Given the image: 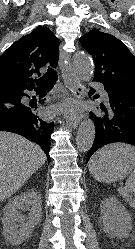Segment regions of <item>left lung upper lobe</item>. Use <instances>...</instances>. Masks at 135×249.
Returning a JSON list of instances; mask_svg holds the SVG:
<instances>
[{
	"mask_svg": "<svg viewBox=\"0 0 135 249\" xmlns=\"http://www.w3.org/2000/svg\"><path fill=\"white\" fill-rule=\"evenodd\" d=\"M95 62L94 81L106 89L135 96V56L115 36L92 29L80 38Z\"/></svg>",
	"mask_w": 135,
	"mask_h": 249,
	"instance_id": "1",
	"label": "left lung upper lobe"
}]
</instances>
